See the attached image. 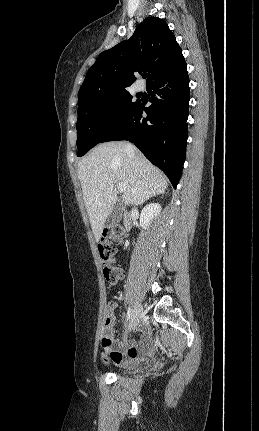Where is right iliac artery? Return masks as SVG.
Here are the masks:
<instances>
[{
  "mask_svg": "<svg viewBox=\"0 0 259 431\" xmlns=\"http://www.w3.org/2000/svg\"><path fill=\"white\" fill-rule=\"evenodd\" d=\"M132 316V309L129 307L127 310V321L131 318Z\"/></svg>",
  "mask_w": 259,
  "mask_h": 431,
  "instance_id": "82829eb1",
  "label": "right iliac artery"
}]
</instances>
